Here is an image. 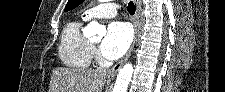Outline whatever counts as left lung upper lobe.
<instances>
[{
	"mask_svg": "<svg viewBox=\"0 0 225 92\" xmlns=\"http://www.w3.org/2000/svg\"><path fill=\"white\" fill-rule=\"evenodd\" d=\"M84 0H69L66 7L65 11L71 10L76 8L78 5H80Z\"/></svg>",
	"mask_w": 225,
	"mask_h": 92,
	"instance_id": "left-lung-upper-lobe-1",
	"label": "left lung upper lobe"
}]
</instances>
